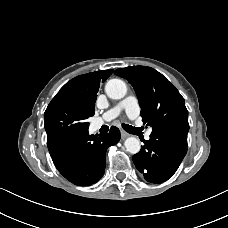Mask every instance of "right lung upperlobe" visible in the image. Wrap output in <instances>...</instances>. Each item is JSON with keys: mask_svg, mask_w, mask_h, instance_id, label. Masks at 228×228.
I'll list each match as a JSON object with an SVG mask.
<instances>
[{"mask_svg": "<svg viewBox=\"0 0 228 228\" xmlns=\"http://www.w3.org/2000/svg\"><path fill=\"white\" fill-rule=\"evenodd\" d=\"M112 72L113 70H103L77 76L66 83L53 100L71 102L92 116L100 83L105 81Z\"/></svg>", "mask_w": 228, "mask_h": 228, "instance_id": "obj_1", "label": "right lung upper lobe"}]
</instances>
